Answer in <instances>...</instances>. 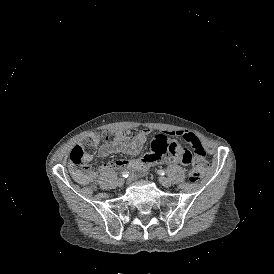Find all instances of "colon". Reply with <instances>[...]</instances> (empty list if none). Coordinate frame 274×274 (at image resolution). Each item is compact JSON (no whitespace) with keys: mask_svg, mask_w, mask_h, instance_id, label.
I'll return each mask as SVG.
<instances>
[{"mask_svg":"<svg viewBox=\"0 0 274 274\" xmlns=\"http://www.w3.org/2000/svg\"><path fill=\"white\" fill-rule=\"evenodd\" d=\"M119 130H106L101 134V137L108 143H114L119 138ZM125 136L133 138L135 136V129L130 128L125 132ZM100 140L96 134L90 135L83 139L81 145H76L69 154L68 165L69 167L78 166L82 163L83 157L86 154L93 152L95 145ZM206 163L203 160H196L188 172V180L191 183H197L200 180L201 173L206 170Z\"/></svg>","mask_w":274,"mask_h":274,"instance_id":"colon-1","label":"colon"}]
</instances>
